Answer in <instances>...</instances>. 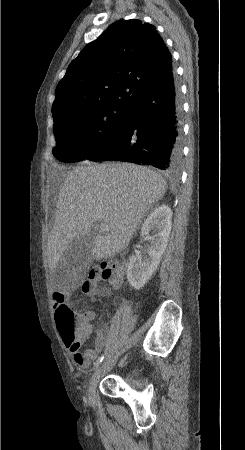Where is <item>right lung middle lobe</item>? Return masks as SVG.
Wrapping results in <instances>:
<instances>
[{
	"label": "right lung middle lobe",
	"instance_id": "right-lung-middle-lobe-1",
	"mask_svg": "<svg viewBox=\"0 0 245 450\" xmlns=\"http://www.w3.org/2000/svg\"><path fill=\"white\" fill-rule=\"evenodd\" d=\"M129 109L126 105H107L52 113L57 141L53 155L62 162H77L103 151L124 130Z\"/></svg>",
	"mask_w": 245,
	"mask_h": 450
}]
</instances>
